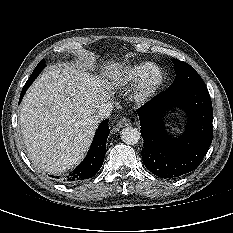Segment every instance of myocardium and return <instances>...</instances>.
Masks as SVG:
<instances>
[{
    "label": "myocardium",
    "mask_w": 233,
    "mask_h": 233,
    "mask_svg": "<svg viewBox=\"0 0 233 233\" xmlns=\"http://www.w3.org/2000/svg\"><path fill=\"white\" fill-rule=\"evenodd\" d=\"M166 79L167 75L165 71L160 67H154L138 83L133 94V99L136 102L147 101L164 85Z\"/></svg>",
    "instance_id": "obj_1"
}]
</instances>
